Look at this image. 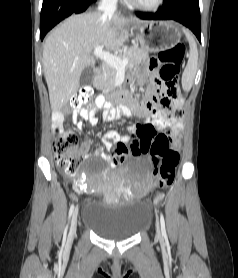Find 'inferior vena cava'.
<instances>
[{
  "label": "inferior vena cava",
  "instance_id": "602c4592",
  "mask_svg": "<svg viewBox=\"0 0 238 278\" xmlns=\"http://www.w3.org/2000/svg\"><path fill=\"white\" fill-rule=\"evenodd\" d=\"M117 1L118 0H101L98 9L106 15H113L116 11Z\"/></svg>",
  "mask_w": 238,
  "mask_h": 278
}]
</instances>
